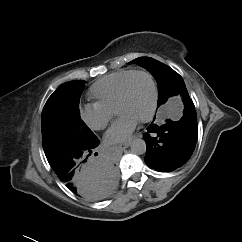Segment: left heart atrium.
<instances>
[{
    "instance_id": "39dd6f15",
    "label": "left heart atrium",
    "mask_w": 242,
    "mask_h": 242,
    "mask_svg": "<svg viewBox=\"0 0 242 242\" xmlns=\"http://www.w3.org/2000/svg\"><path fill=\"white\" fill-rule=\"evenodd\" d=\"M138 122L136 118L130 115H121L106 132V142L115 144L129 140Z\"/></svg>"
}]
</instances>
